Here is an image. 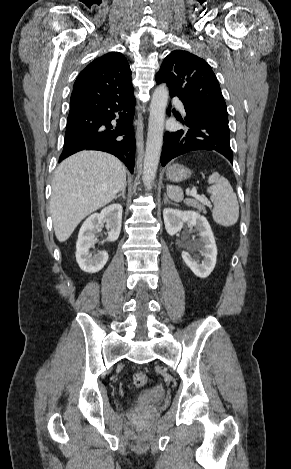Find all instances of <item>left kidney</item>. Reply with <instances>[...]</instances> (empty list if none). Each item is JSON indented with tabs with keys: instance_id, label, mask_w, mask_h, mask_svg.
Here are the masks:
<instances>
[{
	"instance_id": "5707ae66",
	"label": "left kidney",
	"mask_w": 291,
	"mask_h": 469,
	"mask_svg": "<svg viewBox=\"0 0 291 469\" xmlns=\"http://www.w3.org/2000/svg\"><path fill=\"white\" fill-rule=\"evenodd\" d=\"M163 218L166 231L170 235H175L180 231L184 222H188L199 232L200 238L194 241L189 251L198 250L203 256V260L199 263L188 251L182 252V258L197 277H208L216 265L217 247L207 219L195 211H182L173 208H165Z\"/></svg>"
}]
</instances>
